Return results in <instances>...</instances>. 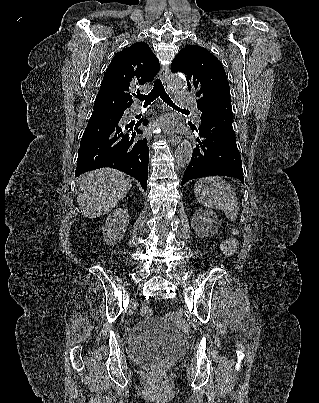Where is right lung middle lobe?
<instances>
[{
  "instance_id": "1",
  "label": "right lung middle lobe",
  "mask_w": 319,
  "mask_h": 403,
  "mask_svg": "<svg viewBox=\"0 0 319 403\" xmlns=\"http://www.w3.org/2000/svg\"><path fill=\"white\" fill-rule=\"evenodd\" d=\"M123 111L121 110H116V109H110V108H97L94 107V110L92 112V116L91 117H97L100 115H113V114H117V113H121Z\"/></svg>"
}]
</instances>
